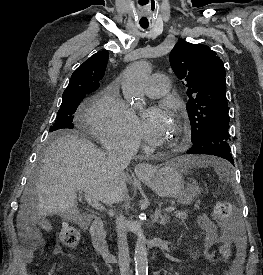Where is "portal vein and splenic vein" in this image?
Wrapping results in <instances>:
<instances>
[{
    "mask_svg": "<svg viewBox=\"0 0 263 275\" xmlns=\"http://www.w3.org/2000/svg\"><path fill=\"white\" fill-rule=\"evenodd\" d=\"M80 193H82V191H79ZM85 200L88 202L89 205H91L93 208L103 211L105 210V207L99 203V201L93 197L92 195L89 194H85ZM166 212H173L175 211V207L174 206H168L165 208Z\"/></svg>",
    "mask_w": 263,
    "mask_h": 275,
    "instance_id": "1",
    "label": "portal vein and splenic vein"
}]
</instances>
